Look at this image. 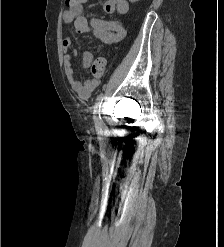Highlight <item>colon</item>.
Instances as JSON below:
<instances>
[{"mask_svg":"<svg viewBox=\"0 0 224 247\" xmlns=\"http://www.w3.org/2000/svg\"><path fill=\"white\" fill-rule=\"evenodd\" d=\"M86 0H66V4L69 8L82 6ZM106 68V59L104 57H98L91 65V72L95 77H101Z\"/></svg>","mask_w":224,"mask_h":247,"instance_id":"1","label":"colon"}]
</instances>
